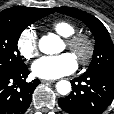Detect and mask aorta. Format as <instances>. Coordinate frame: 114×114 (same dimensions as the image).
<instances>
[{
  "instance_id": "1",
  "label": "aorta",
  "mask_w": 114,
  "mask_h": 114,
  "mask_svg": "<svg viewBox=\"0 0 114 114\" xmlns=\"http://www.w3.org/2000/svg\"><path fill=\"white\" fill-rule=\"evenodd\" d=\"M61 41L57 36H43L39 41V49L45 54H55L58 52V46ZM57 92L66 95L71 91V83L67 80H61L56 85Z\"/></svg>"
}]
</instances>
